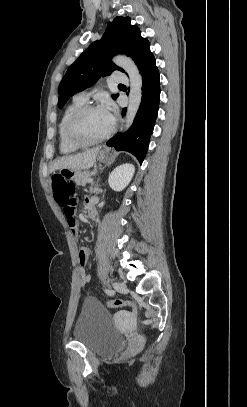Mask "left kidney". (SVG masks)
<instances>
[{
	"label": "left kidney",
	"mask_w": 247,
	"mask_h": 407,
	"mask_svg": "<svg viewBox=\"0 0 247 407\" xmlns=\"http://www.w3.org/2000/svg\"><path fill=\"white\" fill-rule=\"evenodd\" d=\"M135 172L134 165L125 163L113 170L109 176V185L114 191H122L131 181Z\"/></svg>",
	"instance_id": "1"
}]
</instances>
